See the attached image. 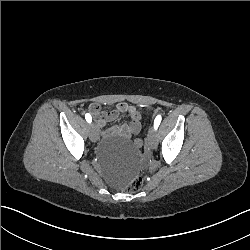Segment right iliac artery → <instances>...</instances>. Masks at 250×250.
Here are the masks:
<instances>
[{
	"label": "right iliac artery",
	"instance_id": "82829eb1",
	"mask_svg": "<svg viewBox=\"0 0 250 250\" xmlns=\"http://www.w3.org/2000/svg\"><path fill=\"white\" fill-rule=\"evenodd\" d=\"M85 119L88 123H91L92 122V117L89 113L85 114Z\"/></svg>",
	"mask_w": 250,
	"mask_h": 250
}]
</instances>
